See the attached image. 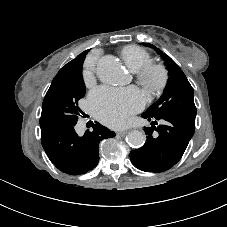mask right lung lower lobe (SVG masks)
Returning <instances> with one entry per match:
<instances>
[{"label":"right lung lower lobe","instance_id":"obj_1","mask_svg":"<svg viewBox=\"0 0 227 227\" xmlns=\"http://www.w3.org/2000/svg\"><path fill=\"white\" fill-rule=\"evenodd\" d=\"M74 125H58L41 134L42 146L50 161L69 175L93 170L99 161V142L115 136V132L97 123L93 131L79 136Z\"/></svg>","mask_w":227,"mask_h":227}]
</instances>
